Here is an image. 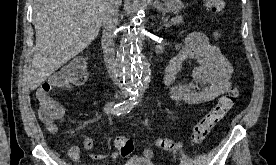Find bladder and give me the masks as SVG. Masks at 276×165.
<instances>
[{
    "mask_svg": "<svg viewBox=\"0 0 276 165\" xmlns=\"http://www.w3.org/2000/svg\"><path fill=\"white\" fill-rule=\"evenodd\" d=\"M123 165H154L150 160L141 156L130 157Z\"/></svg>",
    "mask_w": 276,
    "mask_h": 165,
    "instance_id": "bladder-1",
    "label": "bladder"
}]
</instances>
